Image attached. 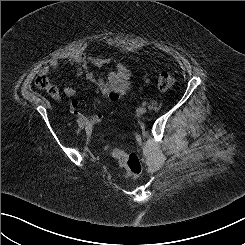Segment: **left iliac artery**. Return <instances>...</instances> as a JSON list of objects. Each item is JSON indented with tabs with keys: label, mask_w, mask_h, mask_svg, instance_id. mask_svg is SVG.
Segmentation results:
<instances>
[{
	"label": "left iliac artery",
	"mask_w": 245,
	"mask_h": 245,
	"mask_svg": "<svg viewBox=\"0 0 245 245\" xmlns=\"http://www.w3.org/2000/svg\"><path fill=\"white\" fill-rule=\"evenodd\" d=\"M146 104H147L146 102H143V103H142V105H144V106H145Z\"/></svg>",
	"instance_id": "1"
}]
</instances>
